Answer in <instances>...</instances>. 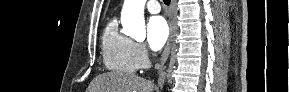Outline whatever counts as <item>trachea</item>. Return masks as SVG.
<instances>
[{
	"instance_id": "obj_1",
	"label": "trachea",
	"mask_w": 289,
	"mask_h": 92,
	"mask_svg": "<svg viewBox=\"0 0 289 92\" xmlns=\"http://www.w3.org/2000/svg\"><path fill=\"white\" fill-rule=\"evenodd\" d=\"M166 5L170 3V0H163Z\"/></svg>"
}]
</instances>
